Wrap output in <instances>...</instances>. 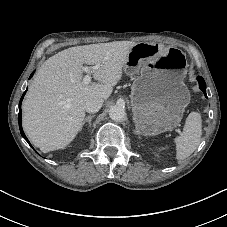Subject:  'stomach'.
Wrapping results in <instances>:
<instances>
[{
    "instance_id": "0dacf381",
    "label": "stomach",
    "mask_w": 227,
    "mask_h": 227,
    "mask_svg": "<svg viewBox=\"0 0 227 227\" xmlns=\"http://www.w3.org/2000/svg\"><path fill=\"white\" fill-rule=\"evenodd\" d=\"M185 54L177 48L156 43H136L130 50L124 71L137 76L132 85L131 104L136 128L154 136L175 128L190 102L184 84Z\"/></svg>"
}]
</instances>
